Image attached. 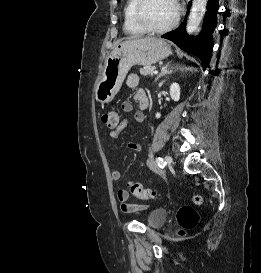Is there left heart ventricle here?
Returning <instances> with one entry per match:
<instances>
[{
  "label": "left heart ventricle",
  "instance_id": "b2bd125f",
  "mask_svg": "<svg viewBox=\"0 0 261 273\" xmlns=\"http://www.w3.org/2000/svg\"><path fill=\"white\" fill-rule=\"evenodd\" d=\"M141 15L143 20L152 27L166 26L176 15L174 0H148Z\"/></svg>",
  "mask_w": 261,
  "mask_h": 273
}]
</instances>
